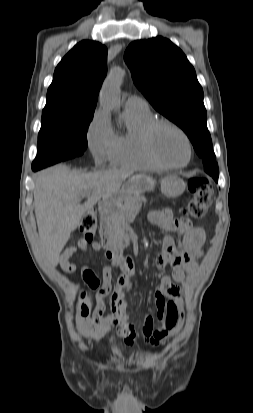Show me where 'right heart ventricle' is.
<instances>
[{"label":"right heart ventricle","mask_w":253,"mask_h":413,"mask_svg":"<svg viewBox=\"0 0 253 413\" xmlns=\"http://www.w3.org/2000/svg\"><path fill=\"white\" fill-rule=\"evenodd\" d=\"M149 109L125 108L122 114L123 130L115 134V144L109 157L111 165L133 169L160 168L146 154L142 142L145 126L152 121Z\"/></svg>","instance_id":"e07e8e85"}]
</instances>
